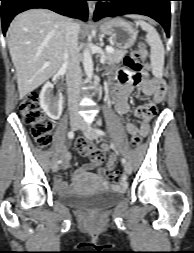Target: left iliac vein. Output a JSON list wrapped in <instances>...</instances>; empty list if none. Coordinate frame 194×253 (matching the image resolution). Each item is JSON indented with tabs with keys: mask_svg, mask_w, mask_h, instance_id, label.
<instances>
[{
	"mask_svg": "<svg viewBox=\"0 0 194 253\" xmlns=\"http://www.w3.org/2000/svg\"><path fill=\"white\" fill-rule=\"evenodd\" d=\"M80 130L84 133V135L88 139H91V140L98 139V137H99V135L95 129H89L88 127H86V125L83 122L80 125ZM124 170L128 175L131 174V172H132V168L129 164L124 165Z\"/></svg>",
	"mask_w": 194,
	"mask_h": 253,
	"instance_id": "4c4485c4",
	"label": "left iliac vein"
}]
</instances>
